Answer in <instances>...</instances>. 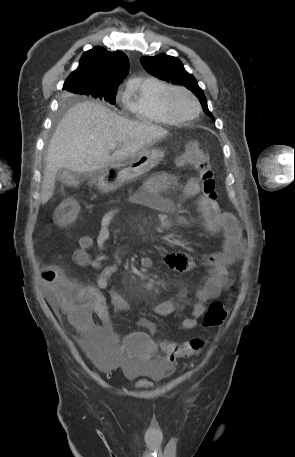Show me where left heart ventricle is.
Here are the masks:
<instances>
[{
  "instance_id": "1",
  "label": "left heart ventricle",
  "mask_w": 295,
  "mask_h": 457,
  "mask_svg": "<svg viewBox=\"0 0 295 457\" xmlns=\"http://www.w3.org/2000/svg\"><path fill=\"white\" fill-rule=\"evenodd\" d=\"M172 104L177 114L189 117L195 112V104L192 99L184 93H176L172 98Z\"/></svg>"
}]
</instances>
